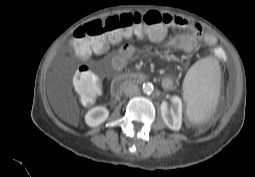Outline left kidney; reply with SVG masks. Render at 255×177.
I'll list each match as a JSON object with an SVG mask.
<instances>
[{
  "label": "left kidney",
  "mask_w": 255,
  "mask_h": 177,
  "mask_svg": "<svg viewBox=\"0 0 255 177\" xmlns=\"http://www.w3.org/2000/svg\"><path fill=\"white\" fill-rule=\"evenodd\" d=\"M172 108L168 109L167 103H161V115L164 123L172 130L178 131L182 124V100L178 96L172 97Z\"/></svg>",
  "instance_id": "1"
}]
</instances>
